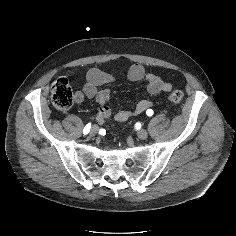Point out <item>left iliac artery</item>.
<instances>
[{"instance_id":"obj_1","label":"left iliac artery","mask_w":236,"mask_h":236,"mask_svg":"<svg viewBox=\"0 0 236 236\" xmlns=\"http://www.w3.org/2000/svg\"><path fill=\"white\" fill-rule=\"evenodd\" d=\"M146 114H147L148 116H152V115H153V110H152V109H148V110L146 111Z\"/></svg>"}]
</instances>
